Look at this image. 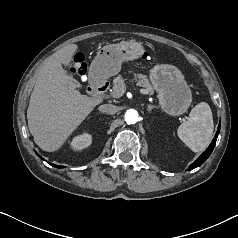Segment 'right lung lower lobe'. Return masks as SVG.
I'll return each instance as SVG.
<instances>
[{
  "instance_id": "right-lung-lower-lobe-1",
  "label": "right lung lower lobe",
  "mask_w": 238,
  "mask_h": 238,
  "mask_svg": "<svg viewBox=\"0 0 238 238\" xmlns=\"http://www.w3.org/2000/svg\"><path fill=\"white\" fill-rule=\"evenodd\" d=\"M39 156V155H38ZM41 159H43L41 156H39ZM50 165H52V166H54V167H58V168H60L61 166H58V165H55V164H51L50 163Z\"/></svg>"
}]
</instances>
